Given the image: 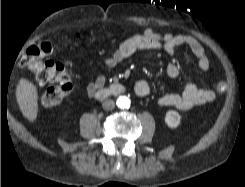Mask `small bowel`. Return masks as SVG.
I'll list each match as a JSON object with an SVG mask.
<instances>
[{
	"mask_svg": "<svg viewBox=\"0 0 245 187\" xmlns=\"http://www.w3.org/2000/svg\"><path fill=\"white\" fill-rule=\"evenodd\" d=\"M180 46H187L197 57L198 65L204 75L211 72V63L203 46L197 39L185 34L160 33L153 29H147L141 34L133 35L125 39L118 49L103 62V70L87 87L89 96L101 89L110 72L121 62L128 59L141 50H161L169 55L175 54ZM167 74L174 79L181 77L179 68L169 63L166 67ZM149 83L138 80L135 83V92L138 96L144 97L149 94ZM214 99V93L210 89L200 88L191 80L184 82V89L180 93L166 94L158 98L157 104L160 107H174L178 110H189L195 106L206 104Z\"/></svg>",
	"mask_w": 245,
	"mask_h": 187,
	"instance_id": "c3829d8e",
	"label": "small bowel"
}]
</instances>
